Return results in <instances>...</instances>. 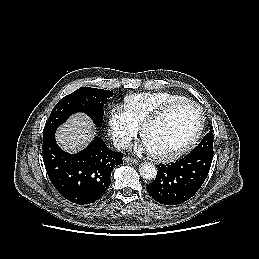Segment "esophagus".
Here are the masks:
<instances>
[{"label": "esophagus", "instance_id": "obj_1", "mask_svg": "<svg viewBox=\"0 0 259 259\" xmlns=\"http://www.w3.org/2000/svg\"><path fill=\"white\" fill-rule=\"evenodd\" d=\"M124 161L127 163L135 164V165H138L140 163L139 160L131 158V157H125Z\"/></svg>", "mask_w": 259, "mask_h": 259}]
</instances>
